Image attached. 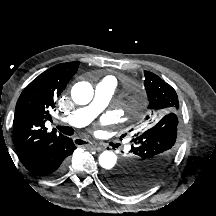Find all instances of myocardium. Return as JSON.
Segmentation results:
<instances>
[{
  "mask_svg": "<svg viewBox=\"0 0 216 216\" xmlns=\"http://www.w3.org/2000/svg\"><path fill=\"white\" fill-rule=\"evenodd\" d=\"M140 109H141V105H140V103L139 102H134L133 104H132V106H131V111L133 112V113H138L139 111H140Z\"/></svg>",
  "mask_w": 216,
  "mask_h": 216,
  "instance_id": "f54148a6",
  "label": "myocardium"
}]
</instances>
